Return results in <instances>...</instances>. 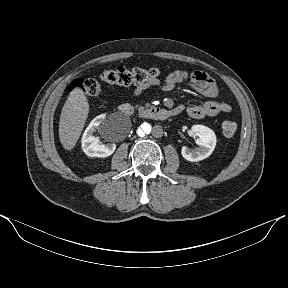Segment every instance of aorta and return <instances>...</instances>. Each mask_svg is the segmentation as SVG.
<instances>
[{
	"label": "aorta",
	"mask_w": 288,
	"mask_h": 288,
	"mask_svg": "<svg viewBox=\"0 0 288 288\" xmlns=\"http://www.w3.org/2000/svg\"><path fill=\"white\" fill-rule=\"evenodd\" d=\"M151 126L147 122H142L136 129V134L140 138H145L150 134Z\"/></svg>",
	"instance_id": "762f6f07"
}]
</instances>
